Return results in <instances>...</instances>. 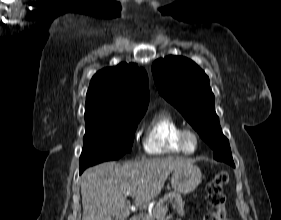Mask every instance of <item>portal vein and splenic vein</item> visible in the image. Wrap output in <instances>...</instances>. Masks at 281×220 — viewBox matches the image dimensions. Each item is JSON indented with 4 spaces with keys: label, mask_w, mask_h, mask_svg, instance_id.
Segmentation results:
<instances>
[{
    "label": "portal vein and splenic vein",
    "mask_w": 281,
    "mask_h": 220,
    "mask_svg": "<svg viewBox=\"0 0 281 220\" xmlns=\"http://www.w3.org/2000/svg\"><path fill=\"white\" fill-rule=\"evenodd\" d=\"M134 195H135L134 192H131V191H127V192H126V196H134ZM167 209H168V204H166V205L162 208L161 212L159 213V216H160V217H165L166 212H167Z\"/></svg>",
    "instance_id": "obj_1"
}]
</instances>
